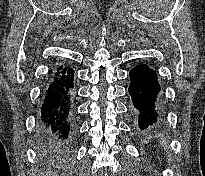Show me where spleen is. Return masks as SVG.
Here are the masks:
<instances>
[{
    "instance_id": "1",
    "label": "spleen",
    "mask_w": 205,
    "mask_h": 176,
    "mask_svg": "<svg viewBox=\"0 0 205 176\" xmlns=\"http://www.w3.org/2000/svg\"><path fill=\"white\" fill-rule=\"evenodd\" d=\"M166 144H167L166 139H165V138H163V139H162V146H164V147H165V146H166Z\"/></svg>"
}]
</instances>
